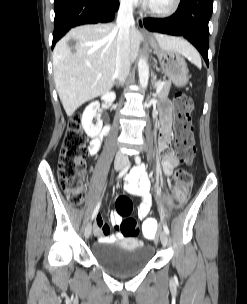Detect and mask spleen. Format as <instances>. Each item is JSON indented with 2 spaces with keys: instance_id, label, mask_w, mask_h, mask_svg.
Masks as SVG:
<instances>
[{
  "instance_id": "spleen-1",
  "label": "spleen",
  "mask_w": 247,
  "mask_h": 304,
  "mask_svg": "<svg viewBox=\"0 0 247 304\" xmlns=\"http://www.w3.org/2000/svg\"><path fill=\"white\" fill-rule=\"evenodd\" d=\"M192 63H194L197 67H201V59L199 55H191L188 58Z\"/></svg>"
}]
</instances>
